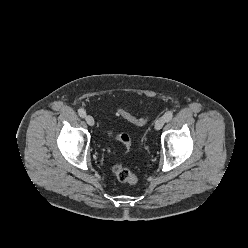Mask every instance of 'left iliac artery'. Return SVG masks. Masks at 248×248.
Returning a JSON list of instances; mask_svg holds the SVG:
<instances>
[{
  "label": "left iliac artery",
  "instance_id": "44dca946",
  "mask_svg": "<svg viewBox=\"0 0 248 248\" xmlns=\"http://www.w3.org/2000/svg\"><path fill=\"white\" fill-rule=\"evenodd\" d=\"M164 116H165L166 121L168 122V121H170L172 119L173 112L172 111H168V112L165 113Z\"/></svg>",
  "mask_w": 248,
  "mask_h": 248
}]
</instances>
